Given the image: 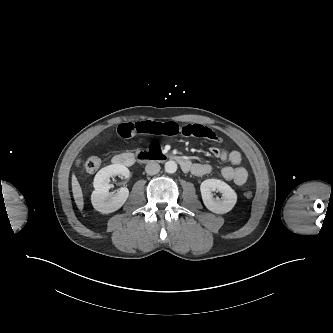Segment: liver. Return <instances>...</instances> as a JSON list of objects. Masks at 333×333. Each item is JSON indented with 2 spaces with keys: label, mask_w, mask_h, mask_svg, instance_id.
Returning <instances> with one entry per match:
<instances>
[{
  "label": "liver",
  "mask_w": 333,
  "mask_h": 333,
  "mask_svg": "<svg viewBox=\"0 0 333 333\" xmlns=\"http://www.w3.org/2000/svg\"><path fill=\"white\" fill-rule=\"evenodd\" d=\"M72 192L78 209L83 210L84 207L83 193L81 186L75 175L72 176Z\"/></svg>",
  "instance_id": "obj_1"
}]
</instances>
